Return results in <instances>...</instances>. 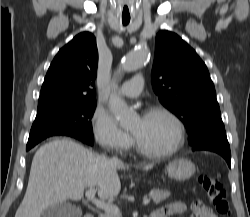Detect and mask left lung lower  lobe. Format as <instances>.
<instances>
[{
	"mask_svg": "<svg viewBox=\"0 0 250 217\" xmlns=\"http://www.w3.org/2000/svg\"><path fill=\"white\" fill-rule=\"evenodd\" d=\"M189 143L192 145V150H207L220 154L230 167L231 152L224 124L212 126Z\"/></svg>",
	"mask_w": 250,
	"mask_h": 217,
	"instance_id": "left-lung-lower-lobe-1",
	"label": "left lung lower lobe"
}]
</instances>
